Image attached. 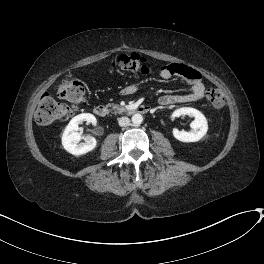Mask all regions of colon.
<instances>
[{"label":"colon","mask_w":264,"mask_h":264,"mask_svg":"<svg viewBox=\"0 0 264 264\" xmlns=\"http://www.w3.org/2000/svg\"><path fill=\"white\" fill-rule=\"evenodd\" d=\"M111 70L148 74L151 70V64L146 57L139 54H122L112 61ZM206 98L216 108L224 105V97L221 91L212 85L206 87ZM86 103L85 85L80 81H64L57 87L55 95L44 93L40 97L35 119L41 125L64 120L72 116L79 106Z\"/></svg>","instance_id":"1"}]
</instances>
